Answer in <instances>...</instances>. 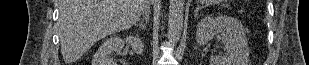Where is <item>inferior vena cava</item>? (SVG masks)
I'll list each match as a JSON object with an SVG mask.
<instances>
[{"mask_svg":"<svg viewBox=\"0 0 309 65\" xmlns=\"http://www.w3.org/2000/svg\"><path fill=\"white\" fill-rule=\"evenodd\" d=\"M148 12H149V7L145 9V19L147 18V15H149Z\"/></svg>","mask_w":309,"mask_h":65,"instance_id":"inferior-vena-cava-1","label":"inferior vena cava"}]
</instances>
